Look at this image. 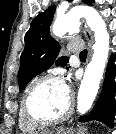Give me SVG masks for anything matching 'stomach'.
<instances>
[{"label":"stomach","mask_w":116,"mask_h":134,"mask_svg":"<svg viewBox=\"0 0 116 134\" xmlns=\"http://www.w3.org/2000/svg\"><path fill=\"white\" fill-rule=\"evenodd\" d=\"M47 134H52V133L49 132ZM54 134H73V133H71V131H68V130L58 129V130H56V132ZM77 134H84V131L79 130Z\"/></svg>","instance_id":"stomach-1"}]
</instances>
